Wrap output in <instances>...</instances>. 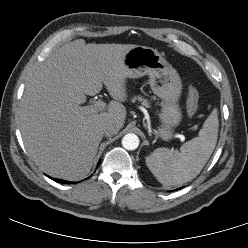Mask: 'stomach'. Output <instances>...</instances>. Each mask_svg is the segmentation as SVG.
<instances>
[{
    "label": "stomach",
    "mask_w": 248,
    "mask_h": 248,
    "mask_svg": "<svg viewBox=\"0 0 248 248\" xmlns=\"http://www.w3.org/2000/svg\"><path fill=\"white\" fill-rule=\"evenodd\" d=\"M123 63L129 78L149 76V85L155 95L162 99L159 136L168 141L173 136V128L181 119L182 113L178 101L182 84L177 71L156 50L146 46H136L124 56Z\"/></svg>",
    "instance_id": "stomach-1"
}]
</instances>
